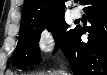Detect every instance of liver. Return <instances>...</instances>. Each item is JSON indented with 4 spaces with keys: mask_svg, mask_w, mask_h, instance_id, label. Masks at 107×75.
I'll use <instances>...</instances> for the list:
<instances>
[{
    "mask_svg": "<svg viewBox=\"0 0 107 75\" xmlns=\"http://www.w3.org/2000/svg\"><path fill=\"white\" fill-rule=\"evenodd\" d=\"M32 75H38V74H32ZM39 75H42V74H39ZM52 75H61V74H52Z\"/></svg>",
    "mask_w": 107,
    "mask_h": 75,
    "instance_id": "6515ba94",
    "label": "liver"
}]
</instances>
